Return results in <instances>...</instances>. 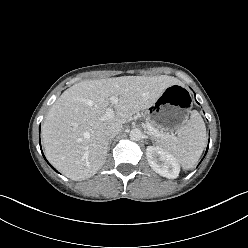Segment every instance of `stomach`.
Segmentation results:
<instances>
[{
    "label": "stomach",
    "mask_w": 248,
    "mask_h": 248,
    "mask_svg": "<svg viewBox=\"0 0 248 248\" xmlns=\"http://www.w3.org/2000/svg\"><path fill=\"white\" fill-rule=\"evenodd\" d=\"M190 110L191 98L187 89L181 84H174L147 108L145 114L148 122L164 132L172 133L178 132L188 122Z\"/></svg>",
    "instance_id": "0dacf381"
}]
</instances>
